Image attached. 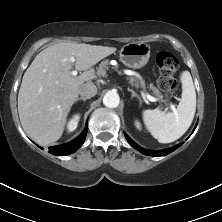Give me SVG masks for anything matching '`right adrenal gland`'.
Instances as JSON below:
<instances>
[{
    "label": "right adrenal gland",
    "instance_id": "obj_1",
    "mask_svg": "<svg viewBox=\"0 0 222 222\" xmlns=\"http://www.w3.org/2000/svg\"><path fill=\"white\" fill-rule=\"evenodd\" d=\"M80 100L85 102V101L87 100V98L79 97V98L76 99L75 102L77 103V102L80 101Z\"/></svg>",
    "mask_w": 222,
    "mask_h": 222
}]
</instances>
